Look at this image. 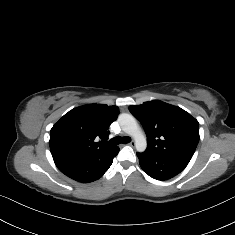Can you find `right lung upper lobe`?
Masks as SVG:
<instances>
[{
  "label": "right lung upper lobe",
  "mask_w": 235,
  "mask_h": 235,
  "mask_svg": "<svg viewBox=\"0 0 235 235\" xmlns=\"http://www.w3.org/2000/svg\"><path fill=\"white\" fill-rule=\"evenodd\" d=\"M119 108L102 104L77 107L66 113L51 129L53 159H85L108 156L119 149L103 144L109 126L117 119Z\"/></svg>",
  "instance_id": "cb5924a9"
}]
</instances>
